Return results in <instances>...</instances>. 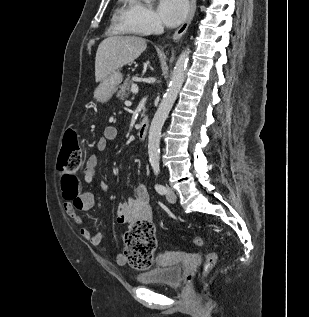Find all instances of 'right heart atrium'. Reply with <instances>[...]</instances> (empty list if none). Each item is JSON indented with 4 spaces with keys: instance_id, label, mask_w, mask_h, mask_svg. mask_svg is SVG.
Instances as JSON below:
<instances>
[{
    "instance_id": "1",
    "label": "right heart atrium",
    "mask_w": 309,
    "mask_h": 317,
    "mask_svg": "<svg viewBox=\"0 0 309 317\" xmlns=\"http://www.w3.org/2000/svg\"><path fill=\"white\" fill-rule=\"evenodd\" d=\"M124 23L133 32L149 34L161 28L160 20L152 7L141 0H128Z\"/></svg>"
}]
</instances>
